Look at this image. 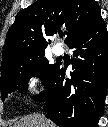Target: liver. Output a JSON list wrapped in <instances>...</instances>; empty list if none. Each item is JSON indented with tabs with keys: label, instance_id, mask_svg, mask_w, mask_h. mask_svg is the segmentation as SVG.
Wrapping results in <instances>:
<instances>
[{
	"label": "liver",
	"instance_id": "obj_1",
	"mask_svg": "<svg viewBox=\"0 0 108 127\" xmlns=\"http://www.w3.org/2000/svg\"><path fill=\"white\" fill-rule=\"evenodd\" d=\"M12 127H56V125L45 116L33 113L21 118Z\"/></svg>",
	"mask_w": 108,
	"mask_h": 127
}]
</instances>
